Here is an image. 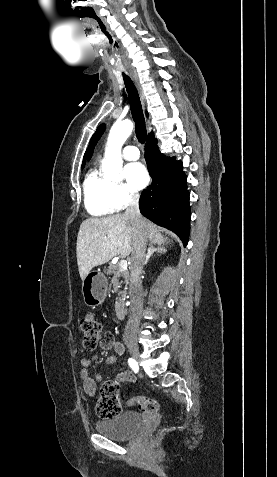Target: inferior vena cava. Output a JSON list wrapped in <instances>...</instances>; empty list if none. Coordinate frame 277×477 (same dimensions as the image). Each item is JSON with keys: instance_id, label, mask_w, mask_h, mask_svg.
Instances as JSON below:
<instances>
[{"instance_id": "inferior-vena-cava-1", "label": "inferior vena cava", "mask_w": 277, "mask_h": 477, "mask_svg": "<svg viewBox=\"0 0 277 477\" xmlns=\"http://www.w3.org/2000/svg\"><path fill=\"white\" fill-rule=\"evenodd\" d=\"M124 215L130 218L134 241L131 254L129 287L131 315L124 331V338L125 340H128L136 337L143 305L141 274L146 257L147 232L144 225V219L139 211V194L133 193L130 195L129 205Z\"/></svg>"}]
</instances>
